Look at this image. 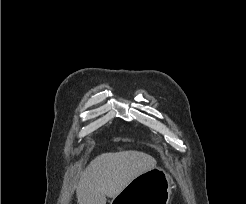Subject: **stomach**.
I'll list each match as a JSON object with an SVG mask.
<instances>
[{
  "mask_svg": "<svg viewBox=\"0 0 246 204\" xmlns=\"http://www.w3.org/2000/svg\"><path fill=\"white\" fill-rule=\"evenodd\" d=\"M171 178L162 168L153 169L134 178L111 204H168Z\"/></svg>",
  "mask_w": 246,
  "mask_h": 204,
  "instance_id": "0dacf381",
  "label": "stomach"
}]
</instances>
